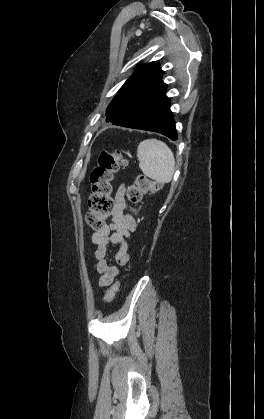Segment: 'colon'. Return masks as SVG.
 <instances>
[{"instance_id":"1","label":"colon","mask_w":264,"mask_h":419,"mask_svg":"<svg viewBox=\"0 0 264 419\" xmlns=\"http://www.w3.org/2000/svg\"><path fill=\"white\" fill-rule=\"evenodd\" d=\"M126 164L125 159L120 153L103 151L98 158L97 166L91 173L90 182L92 193L89 198V212L86 216L88 225L94 230H101L104 226V220L110 216L115 207L113 199V180L115 173ZM160 188V185L151 181L146 176L139 175L133 184L127 189V198L133 204L137 205L144 193L154 192ZM132 211L137 212L133 207ZM119 288V283H114L105 295V301L111 302Z\"/></svg>"}]
</instances>
